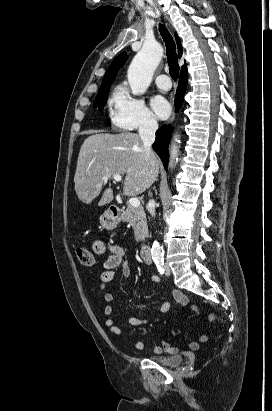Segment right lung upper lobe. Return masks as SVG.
<instances>
[{
  "mask_svg": "<svg viewBox=\"0 0 272 411\" xmlns=\"http://www.w3.org/2000/svg\"><path fill=\"white\" fill-rule=\"evenodd\" d=\"M175 38H176V42H177V46H178V54H179V57H181L183 50H182V47H181L180 39H179V37L177 36L176 33H175ZM127 58H128L127 54L125 52H123L113 60L110 67L106 71V74L103 78L100 89H103L106 86L112 84V80L116 77L118 70L125 64ZM186 69H187V67L184 64L181 67V72L186 70Z\"/></svg>",
  "mask_w": 272,
  "mask_h": 411,
  "instance_id": "cb5924a9",
  "label": "right lung upper lobe"
}]
</instances>
